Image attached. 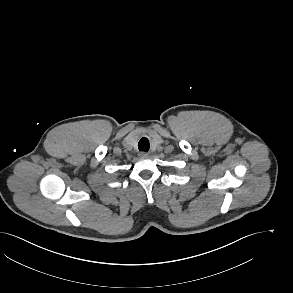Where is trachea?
<instances>
[{
	"label": "trachea",
	"instance_id": "trachea-1",
	"mask_svg": "<svg viewBox=\"0 0 293 293\" xmlns=\"http://www.w3.org/2000/svg\"><path fill=\"white\" fill-rule=\"evenodd\" d=\"M138 148L140 151H144V152H147L150 148V144H149V141L146 137H143L139 143H138Z\"/></svg>",
	"mask_w": 293,
	"mask_h": 293
}]
</instances>
